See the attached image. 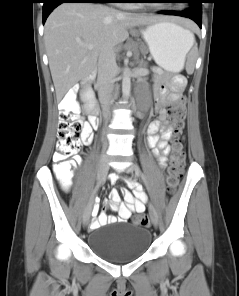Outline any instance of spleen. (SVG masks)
<instances>
[{
	"mask_svg": "<svg viewBox=\"0 0 239 296\" xmlns=\"http://www.w3.org/2000/svg\"><path fill=\"white\" fill-rule=\"evenodd\" d=\"M189 36H190V39H191V42H192V45H193V43H194V35L191 32H189ZM194 56L195 55L193 53L191 59L189 60V62L187 64V72L188 73H192L193 70H194Z\"/></svg>",
	"mask_w": 239,
	"mask_h": 296,
	"instance_id": "1",
	"label": "spleen"
}]
</instances>
